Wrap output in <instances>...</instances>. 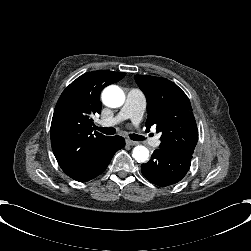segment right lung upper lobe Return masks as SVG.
Returning a JSON list of instances; mask_svg holds the SVG:
<instances>
[{
  "label": "right lung upper lobe",
  "mask_w": 251,
  "mask_h": 251,
  "mask_svg": "<svg viewBox=\"0 0 251 251\" xmlns=\"http://www.w3.org/2000/svg\"><path fill=\"white\" fill-rule=\"evenodd\" d=\"M126 73L87 72L61 94L51 123V145L62 170L71 175L96 159L111 137L92 133V116L101 111V91L121 80Z\"/></svg>",
  "instance_id": "right-lung-upper-lobe-1"
}]
</instances>
